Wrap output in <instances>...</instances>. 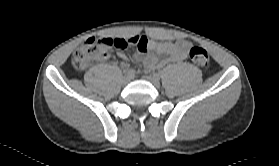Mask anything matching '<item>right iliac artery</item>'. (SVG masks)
<instances>
[{"label": "right iliac artery", "mask_w": 279, "mask_h": 166, "mask_svg": "<svg viewBox=\"0 0 279 166\" xmlns=\"http://www.w3.org/2000/svg\"><path fill=\"white\" fill-rule=\"evenodd\" d=\"M126 74H127V75H130V76H134L135 70H134V69H128V70L126 71Z\"/></svg>", "instance_id": "right-iliac-artery-1"}]
</instances>
